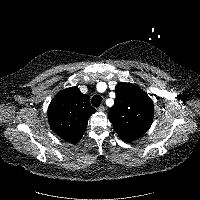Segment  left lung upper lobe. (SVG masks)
Masks as SVG:
<instances>
[{
	"instance_id": "1",
	"label": "left lung upper lobe",
	"mask_w": 200,
	"mask_h": 200,
	"mask_svg": "<svg viewBox=\"0 0 200 200\" xmlns=\"http://www.w3.org/2000/svg\"><path fill=\"white\" fill-rule=\"evenodd\" d=\"M116 99L108 118L118 136L132 142L150 128L154 107L146 92L131 83H120L115 88Z\"/></svg>"
}]
</instances>
